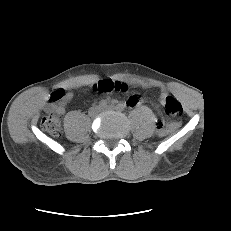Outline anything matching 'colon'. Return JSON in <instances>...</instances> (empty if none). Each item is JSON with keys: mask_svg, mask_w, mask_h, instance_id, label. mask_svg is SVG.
Instances as JSON below:
<instances>
[{"mask_svg": "<svg viewBox=\"0 0 231 231\" xmlns=\"http://www.w3.org/2000/svg\"><path fill=\"white\" fill-rule=\"evenodd\" d=\"M93 90L100 93H107L114 90L124 92L127 90V87L120 81L104 79L95 83L93 85ZM60 97V92H54L51 95V101H56ZM165 112L172 118H179L182 115V107L180 102L174 96L169 94L165 97ZM41 125L44 130L51 135L57 136L60 134V121L53 113H49L44 116L41 120ZM157 129L160 134H165L167 131L162 121L157 123Z\"/></svg>", "mask_w": 231, "mask_h": 231, "instance_id": "obj_1", "label": "colon"}]
</instances>
